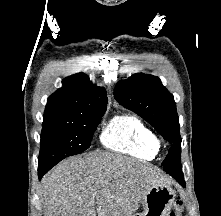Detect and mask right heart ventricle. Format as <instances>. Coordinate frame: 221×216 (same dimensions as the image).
<instances>
[{
    "instance_id": "1",
    "label": "right heart ventricle",
    "mask_w": 221,
    "mask_h": 216,
    "mask_svg": "<svg viewBox=\"0 0 221 216\" xmlns=\"http://www.w3.org/2000/svg\"><path fill=\"white\" fill-rule=\"evenodd\" d=\"M100 142L113 152L141 159H154L159 147L144 121L129 113L112 117L100 134Z\"/></svg>"
}]
</instances>
